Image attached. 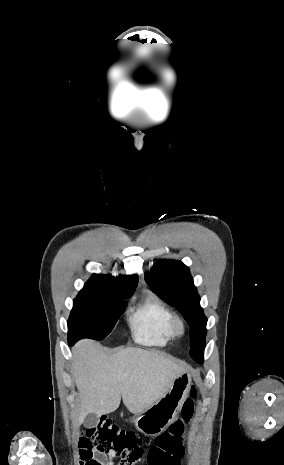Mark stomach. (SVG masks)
<instances>
[{
	"label": "stomach",
	"instance_id": "obj_1",
	"mask_svg": "<svg viewBox=\"0 0 284 465\" xmlns=\"http://www.w3.org/2000/svg\"><path fill=\"white\" fill-rule=\"evenodd\" d=\"M190 385L191 375L182 373L174 379L164 397L142 413H135L130 423H134L137 431L144 433L146 437H157L173 423L189 395Z\"/></svg>",
	"mask_w": 284,
	"mask_h": 465
}]
</instances>
